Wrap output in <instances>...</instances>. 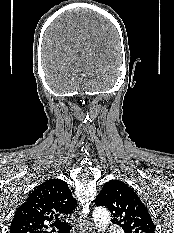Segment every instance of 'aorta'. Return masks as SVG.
Segmentation results:
<instances>
[{
	"label": "aorta",
	"instance_id": "1",
	"mask_svg": "<svg viewBox=\"0 0 174 233\" xmlns=\"http://www.w3.org/2000/svg\"><path fill=\"white\" fill-rule=\"evenodd\" d=\"M93 220L98 232L106 230L110 224V213L104 207H97L93 211Z\"/></svg>",
	"mask_w": 174,
	"mask_h": 233
}]
</instances>
